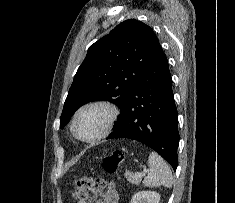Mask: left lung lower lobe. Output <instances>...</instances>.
<instances>
[{
    "label": "left lung lower lobe",
    "mask_w": 235,
    "mask_h": 203,
    "mask_svg": "<svg viewBox=\"0 0 235 203\" xmlns=\"http://www.w3.org/2000/svg\"><path fill=\"white\" fill-rule=\"evenodd\" d=\"M144 143L177 168L178 113L168 61L159 45L144 70L123 113L107 137Z\"/></svg>",
    "instance_id": "obj_1"
}]
</instances>
